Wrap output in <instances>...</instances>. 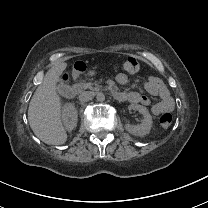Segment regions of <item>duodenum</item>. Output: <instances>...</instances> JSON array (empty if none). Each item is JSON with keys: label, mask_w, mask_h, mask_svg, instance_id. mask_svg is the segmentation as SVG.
<instances>
[{"label": "duodenum", "mask_w": 208, "mask_h": 208, "mask_svg": "<svg viewBox=\"0 0 208 208\" xmlns=\"http://www.w3.org/2000/svg\"><path fill=\"white\" fill-rule=\"evenodd\" d=\"M84 88V85L82 82L78 81L76 82L73 87L71 88V95L72 96H75L77 94H79ZM114 96L119 99V100H124L125 99V95L123 93H119V92H116L114 94Z\"/></svg>", "instance_id": "duodenum-1"}]
</instances>
